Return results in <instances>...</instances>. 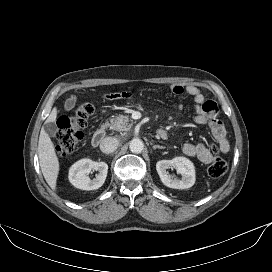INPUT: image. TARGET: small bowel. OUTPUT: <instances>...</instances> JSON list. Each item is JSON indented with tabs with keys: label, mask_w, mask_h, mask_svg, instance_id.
<instances>
[{
	"label": "small bowel",
	"mask_w": 272,
	"mask_h": 272,
	"mask_svg": "<svg viewBox=\"0 0 272 272\" xmlns=\"http://www.w3.org/2000/svg\"><path fill=\"white\" fill-rule=\"evenodd\" d=\"M170 90L174 95H187L194 102L195 115L194 122L198 125H207L214 141L219 146L223 153H227L230 149V144L226 136V130L223 123L218 119V106L214 101L205 100L204 95L196 86L183 87L180 85L170 86ZM132 97V93L121 91L106 94L107 100L127 99ZM77 99L75 96L69 97L65 102L66 111H71L76 105ZM182 106H179L181 109ZM183 152L190 157L198 158L202 163L209 164L213 160V155L209 148L203 143H186L183 146Z\"/></svg>",
	"instance_id": "c3829d8e"
}]
</instances>
